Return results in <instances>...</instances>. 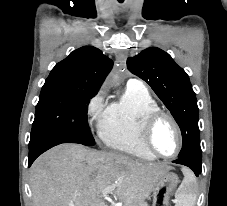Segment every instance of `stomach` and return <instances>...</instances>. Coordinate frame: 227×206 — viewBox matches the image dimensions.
I'll return each mask as SVG.
<instances>
[{"label":"stomach","instance_id":"stomach-1","mask_svg":"<svg viewBox=\"0 0 227 206\" xmlns=\"http://www.w3.org/2000/svg\"><path fill=\"white\" fill-rule=\"evenodd\" d=\"M179 182L174 173L163 175L153 188V206H168L169 199Z\"/></svg>","mask_w":227,"mask_h":206}]
</instances>
